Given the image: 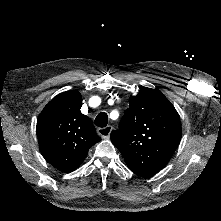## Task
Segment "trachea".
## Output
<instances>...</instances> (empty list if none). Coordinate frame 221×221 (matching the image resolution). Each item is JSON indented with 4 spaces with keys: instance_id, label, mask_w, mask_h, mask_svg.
Listing matches in <instances>:
<instances>
[{
    "instance_id": "1",
    "label": "trachea",
    "mask_w": 221,
    "mask_h": 221,
    "mask_svg": "<svg viewBox=\"0 0 221 221\" xmlns=\"http://www.w3.org/2000/svg\"><path fill=\"white\" fill-rule=\"evenodd\" d=\"M95 125L98 127H105L108 124V115L105 112L99 113L94 121Z\"/></svg>"
}]
</instances>
